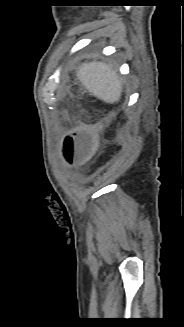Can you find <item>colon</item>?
Here are the masks:
<instances>
[{"label":"colon","instance_id":"5ec220e1","mask_svg":"<svg viewBox=\"0 0 184 327\" xmlns=\"http://www.w3.org/2000/svg\"><path fill=\"white\" fill-rule=\"evenodd\" d=\"M97 148L98 145L92 132L79 129L64 138L61 152L64 161L72 165L77 155L86 158L95 153Z\"/></svg>","mask_w":184,"mask_h":327}]
</instances>
